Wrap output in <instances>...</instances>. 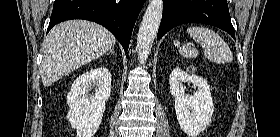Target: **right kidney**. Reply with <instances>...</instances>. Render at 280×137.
I'll list each match as a JSON object with an SVG mask.
<instances>
[{"instance_id":"obj_1","label":"right kidney","mask_w":280,"mask_h":137,"mask_svg":"<svg viewBox=\"0 0 280 137\" xmlns=\"http://www.w3.org/2000/svg\"><path fill=\"white\" fill-rule=\"evenodd\" d=\"M95 87L93 95L88 94ZM111 73L105 67L91 69L80 75L67 95L68 121L77 137H93L101 124L105 102L110 98Z\"/></svg>"}]
</instances>
